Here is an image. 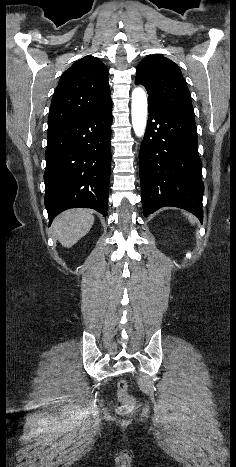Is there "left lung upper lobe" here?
Listing matches in <instances>:
<instances>
[{
	"label": "left lung upper lobe",
	"instance_id": "1",
	"mask_svg": "<svg viewBox=\"0 0 236 467\" xmlns=\"http://www.w3.org/2000/svg\"><path fill=\"white\" fill-rule=\"evenodd\" d=\"M135 83L146 88L149 105L193 109L191 95L180 68L166 57H145L137 68Z\"/></svg>",
	"mask_w": 236,
	"mask_h": 467
}]
</instances>
